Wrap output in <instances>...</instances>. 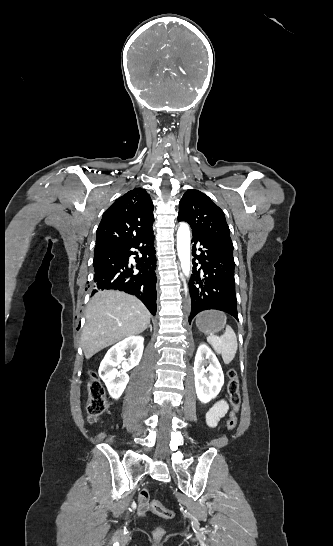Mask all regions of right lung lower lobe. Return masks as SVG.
Wrapping results in <instances>:
<instances>
[{
  "instance_id": "right-lung-lower-lobe-1",
  "label": "right lung lower lobe",
  "mask_w": 333,
  "mask_h": 546,
  "mask_svg": "<svg viewBox=\"0 0 333 546\" xmlns=\"http://www.w3.org/2000/svg\"><path fill=\"white\" fill-rule=\"evenodd\" d=\"M153 230L132 238H110L94 249V295L98 290L125 291L139 298L151 314L156 313V257ZM133 248L137 251H133ZM139 254L142 256L139 257ZM135 255L136 264L130 261Z\"/></svg>"
}]
</instances>
